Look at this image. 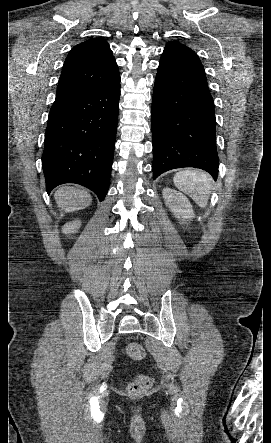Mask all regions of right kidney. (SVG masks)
<instances>
[{
  "label": "right kidney",
  "mask_w": 271,
  "mask_h": 443,
  "mask_svg": "<svg viewBox=\"0 0 271 443\" xmlns=\"http://www.w3.org/2000/svg\"><path fill=\"white\" fill-rule=\"evenodd\" d=\"M80 225L81 222H79V220H76V222H68L63 225L62 231L63 233H77Z\"/></svg>",
  "instance_id": "1"
}]
</instances>
